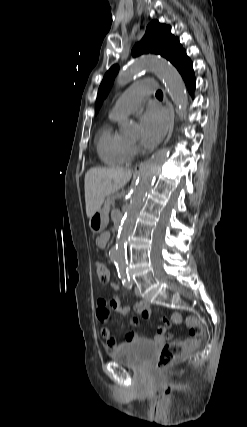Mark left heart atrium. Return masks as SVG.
<instances>
[{
	"label": "left heart atrium",
	"instance_id": "left-heart-atrium-1",
	"mask_svg": "<svg viewBox=\"0 0 247 427\" xmlns=\"http://www.w3.org/2000/svg\"><path fill=\"white\" fill-rule=\"evenodd\" d=\"M168 118L159 107H149L140 118V140L142 145L152 147L156 145L166 133Z\"/></svg>",
	"mask_w": 247,
	"mask_h": 427
}]
</instances>
